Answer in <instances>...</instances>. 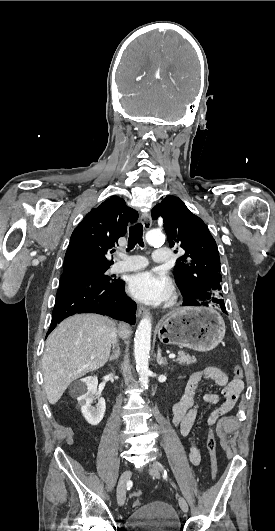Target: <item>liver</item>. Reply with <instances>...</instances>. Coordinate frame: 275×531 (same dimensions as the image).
I'll return each instance as SVG.
<instances>
[{
	"mask_svg": "<svg viewBox=\"0 0 275 531\" xmlns=\"http://www.w3.org/2000/svg\"><path fill=\"white\" fill-rule=\"evenodd\" d=\"M114 321L101 315H74L49 335L42 359L44 389L50 405H56L68 385L106 365L112 345ZM126 339L129 325L119 323ZM95 357V359H91Z\"/></svg>",
	"mask_w": 275,
	"mask_h": 531,
	"instance_id": "liver-1",
	"label": "liver"
}]
</instances>
